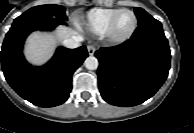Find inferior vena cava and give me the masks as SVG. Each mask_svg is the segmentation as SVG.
<instances>
[{"mask_svg":"<svg viewBox=\"0 0 194 133\" xmlns=\"http://www.w3.org/2000/svg\"><path fill=\"white\" fill-rule=\"evenodd\" d=\"M83 41V38L79 35L72 36L71 38L64 39L63 44L67 48L74 49L79 46V43Z\"/></svg>","mask_w":194,"mask_h":133,"instance_id":"602c4592","label":"inferior vena cava"}]
</instances>
